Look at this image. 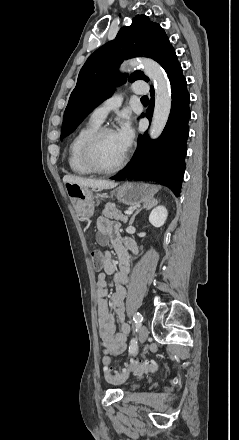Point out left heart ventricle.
<instances>
[{"mask_svg":"<svg viewBox=\"0 0 239 440\" xmlns=\"http://www.w3.org/2000/svg\"><path fill=\"white\" fill-rule=\"evenodd\" d=\"M126 150L115 132L105 134L96 148V159L105 168L114 167Z\"/></svg>","mask_w":239,"mask_h":440,"instance_id":"b2bd125f","label":"left heart ventricle"}]
</instances>
